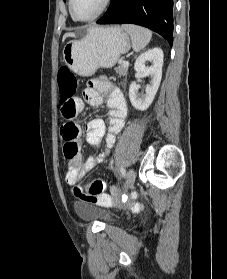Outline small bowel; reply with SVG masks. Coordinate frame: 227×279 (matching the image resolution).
<instances>
[{
	"instance_id": "c3829d8e",
	"label": "small bowel",
	"mask_w": 227,
	"mask_h": 279,
	"mask_svg": "<svg viewBox=\"0 0 227 279\" xmlns=\"http://www.w3.org/2000/svg\"><path fill=\"white\" fill-rule=\"evenodd\" d=\"M107 100L109 113L106 122L96 118L89 121L85 125V135L87 143L94 149L100 147L104 139L108 147L112 146L116 135L124 126V120L128 114V108L124 95L118 87L112 82L105 79L90 80L83 92V99H76L77 115L84 111L85 103L92 107H99ZM79 128L76 143L79 146V135L81 134L80 125L75 122H69ZM63 137V136H62ZM108 152L98 153L89 157L84 163L81 157L76 155L69 160L68 169L65 174V181L68 185L73 186V190L77 189V182L83 178L85 174L95 168L96 165L105 161ZM131 208H140V204L136 202L130 203Z\"/></svg>"
}]
</instances>
